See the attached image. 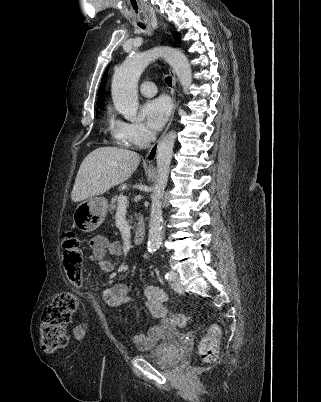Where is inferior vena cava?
I'll return each mask as SVG.
<instances>
[{
  "mask_svg": "<svg viewBox=\"0 0 321 402\" xmlns=\"http://www.w3.org/2000/svg\"><path fill=\"white\" fill-rule=\"evenodd\" d=\"M155 138H156L155 133H150V139H151V140H155Z\"/></svg>",
  "mask_w": 321,
  "mask_h": 402,
  "instance_id": "inferior-vena-cava-1",
  "label": "inferior vena cava"
}]
</instances>
